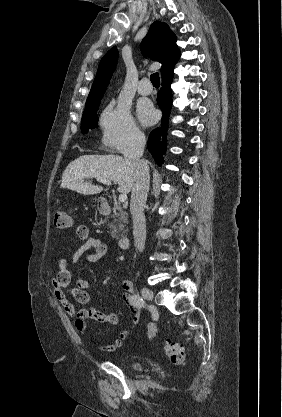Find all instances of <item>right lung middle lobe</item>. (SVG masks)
<instances>
[{"label":"right lung middle lobe","instance_id":"obj_1","mask_svg":"<svg viewBox=\"0 0 282 417\" xmlns=\"http://www.w3.org/2000/svg\"><path fill=\"white\" fill-rule=\"evenodd\" d=\"M103 94L89 96L86 101L85 110L82 116L81 130L83 133H87L89 129L95 128L98 125L97 111L99 109L100 100Z\"/></svg>","mask_w":282,"mask_h":417}]
</instances>
